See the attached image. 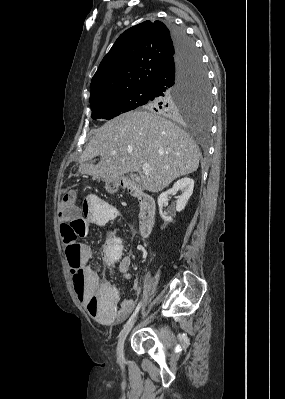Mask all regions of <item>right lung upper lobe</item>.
Returning <instances> with one entry per match:
<instances>
[{
	"label": "right lung upper lobe",
	"instance_id": "cb5924a9",
	"mask_svg": "<svg viewBox=\"0 0 285 399\" xmlns=\"http://www.w3.org/2000/svg\"><path fill=\"white\" fill-rule=\"evenodd\" d=\"M175 47L169 28L145 21L126 30L105 55L91 80L89 100L130 89L149 88L172 62Z\"/></svg>",
	"mask_w": 285,
	"mask_h": 399
}]
</instances>
